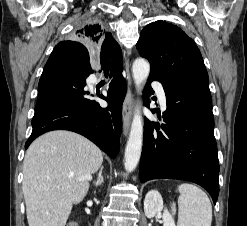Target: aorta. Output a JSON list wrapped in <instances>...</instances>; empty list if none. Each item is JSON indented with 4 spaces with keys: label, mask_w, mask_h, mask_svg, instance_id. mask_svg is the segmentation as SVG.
Segmentation results:
<instances>
[{
    "label": "aorta",
    "mask_w": 247,
    "mask_h": 226,
    "mask_svg": "<svg viewBox=\"0 0 247 226\" xmlns=\"http://www.w3.org/2000/svg\"><path fill=\"white\" fill-rule=\"evenodd\" d=\"M132 73L137 89L141 90L143 83L147 80L150 73L149 62L144 58H137L133 62ZM142 141L143 120L139 108H136L125 148L124 166L128 172H132L138 165L142 151Z\"/></svg>",
    "instance_id": "1"
}]
</instances>
